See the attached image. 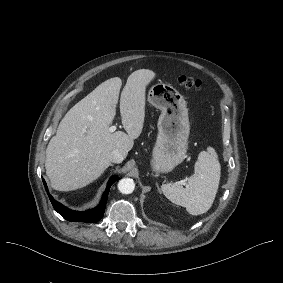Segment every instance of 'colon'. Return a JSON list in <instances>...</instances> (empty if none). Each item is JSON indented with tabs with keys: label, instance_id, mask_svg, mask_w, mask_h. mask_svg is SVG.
<instances>
[{
	"label": "colon",
	"instance_id": "5ec220e1",
	"mask_svg": "<svg viewBox=\"0 0 283 283\" xmlns=\"http://www.w3.org/2000/svg\"><path fill=\"white\" fill-rule=\"evenodd\" d=\"M178 84L186 89L198 90L201 87V82L199 80L185 75L178 78Z\"/></svg>",
	"mask_w": 283,
	"mask_h": 283
}]
</instances>
